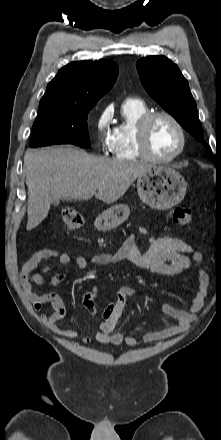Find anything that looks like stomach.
Returning <instances> with one entry per match:
<instances>
[{"instance_id":"0dacf381","label":"stomach","mask_w":221,"mask_h":440,"mask_svg":"<svg viewBox=\"0 0 221 440\" xmlns=\"http://www.w3.org/2000/svg\"><path fill=\"white\" fill-rule=\"evenodd\" d=\"M187 183L176 170L165 166H153L137 179V191L140 199L158 210L169 209L182 201L186 194ZM130 214L125 204L111 206L95 220V227L108 231L122 224Z\"/></svg>"}]
</instances>
